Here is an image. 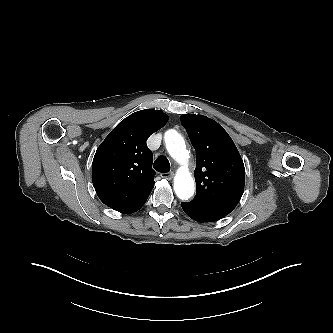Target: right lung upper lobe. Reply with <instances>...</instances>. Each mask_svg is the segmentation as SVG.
Masks as SVG:
<instances>
[{"instance_id": "obj_1", "label": "right lung upper lobe", "mask_w": 333, "mask_h": 333, "mask_svg": "<svg viewBox=\"0 0 333 333\" xmlns=\"http://www.w3.org/2000/svg\"><path fill=\"white\" fill-rule=\"evenodd\" d=\"M167 120L159 110L137 111L122 120L97 148L92 182L105 205L131 214L145 204L155 183L153 154L146 141Z\"/></svg>"}]
</instances>
